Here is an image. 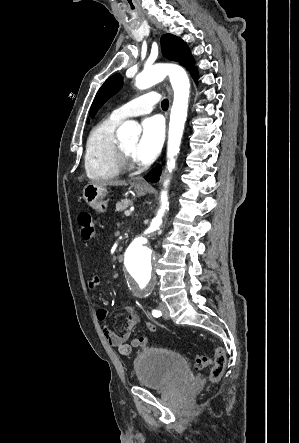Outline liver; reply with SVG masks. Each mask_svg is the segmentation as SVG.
<instances>
[{"label": "liver", "mask_w": 299, "mask_h": 443, "mask_svg": "<svg viewBox=\"0 0 299 443\" xmlns=\"http://www.w3.org/2000/svg\"><path fill=\"white\" fill-rule=\"evenodd\" d=\"M90 184L99 186H126L127 182L124 180H95L91 181Z\"/></svg>", "instance_id": "1"}]
</instances>
